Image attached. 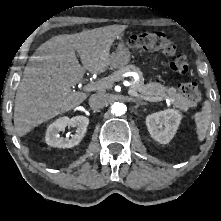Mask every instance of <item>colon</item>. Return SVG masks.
I'll list each match as a JSON object with an SVG mask.
<instances>
[{
    "label": "colon",
    "instance_id": "obj_1",
    "mask_svg": "<svg viewBox=\"0 0 221 221\" xmlns=\"http://www.w3.org/2000/svg\"><path fill=\"white\" fill-rule=\"evenodd\" d=\"M129 45L138 51L158 50L166 55L174 56L170 68L179 74L187 73L189 66L184 55L176 54L175 42L162 32H142L133 35L129 39ZM179 91L190 104H198L201 101V91L193 82H186L179 85Z\"/></svg>",
    "mask_w": 221,
    "mask_h": 221
}]
</instances>
